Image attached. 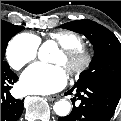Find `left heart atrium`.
Returning <instances> with one entry per match:
<instances>
[{
	"instance_id": "1",
	"label": "left heart atrium",
	"mask_w": 121,
	"mask_h": 121,
	"mask_svg": "<svg viewBox=\"0 0 121 121\" xmlns=\"http://www.w3.org/2000/svg\"><path fill=\"white\" fill-rule=\"evenodd\" d=\"M67 83V75L60 65L36 63L29 67L21 79V87L27 93L50 94L58 92Z\"/></svg>"
}]
</instances>
